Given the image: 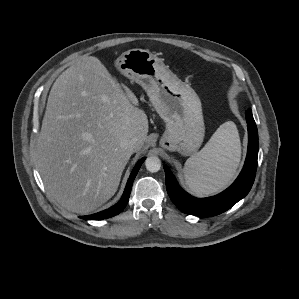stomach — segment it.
Returning <instances> with one entry per match:
<instances>
[{
	"mask_svg": "<svg viewBox=\"0 0 299 299\" xmlns=\"http://www.w3.org/2000/svg\"><path fill=\"white\" fill-rule=\"evenodd\" d=\"M115 66L142 86L165 121L160 146L182 155L196 153L203 142L205 127L201 101L195 91L148 50H128L117 58Z\"/></svg>",
	"mask_w": 299,
	"mask_h": 299,
	"instance_id": "0dacf381",
	"label": "stomach"
}]
</instances>
